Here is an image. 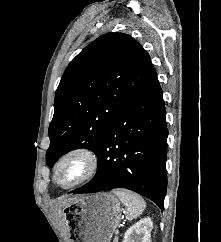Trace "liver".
<instances>
[{
	"label": "liver",
	"mask_w": 221,
	"mask_h": 242,
	"mask_svg": "<svg viewBox=\"0 0 221 242\" xmlns=\"http://www.w3.org/2000/svg\"><path fill=\"white\" fill-rule=\"evenodd\" d=\"M72 199H68V200H64V201H62L61 203H60V205H59V207H62V206H67L68 205V203L71 201Z\"/></svg>",
	"instance_id": "liver-1"
}]
</instances>
